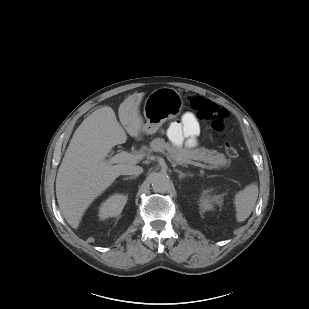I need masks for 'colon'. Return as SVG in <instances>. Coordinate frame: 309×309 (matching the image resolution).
<instances>
[{"mask_svg":"<svg viewBox=\"0 0 309 309\" xmlns=\"http://www.w3.org/2000/svg\"><path fill=\"white\" fill-rule=\"evenodd\" d=\"M189 105L198 119L210 122L217 131L224 128L228 117V111L225 108L201 96L191 97ZM225 152L230 158H236L240 154L239 149L231 142L225 143Z\"/></svg>","mask_w":309,"mask_h":309,"instance_id":"obj_1","label":"colon"}]
</instances>
